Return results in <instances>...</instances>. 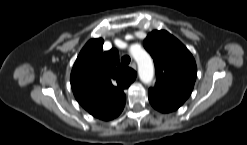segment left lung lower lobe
<instances>
[{"label": "left lung lower lobe", "instance_id": "0a47b994", "mask_svg": "<svg viewBox=\"0 0 247 145\" xmlns=\"http://www.w3.org/2000/svg\"><path fill=\"white\" fill-rule=\"evenodd\" d=\"M148 98L151 105L163 113L177 110L186 100L156 88L149 89Z\"/></svg>", "mask_w": 247, "mask_h": 145}]
</instances>
